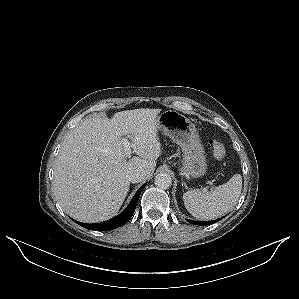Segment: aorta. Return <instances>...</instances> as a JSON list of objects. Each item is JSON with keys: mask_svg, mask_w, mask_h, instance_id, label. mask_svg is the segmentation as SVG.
<instances>
[{"mask_svg": "<svg viewBox=\"0 0 299 299\" xmlns=\"http://www.w3.org/2000/svg\"><path fill=\"white\" fill-rule=\"evenodd\" d=\"M155 184L161 189H168L172 185V178L167 173H159L155 177Z\"/></svg>", "mask_w": 299, "mask_h": 299, "instance_id": "762f6f07", "label": "aorta"}]
</instances>
